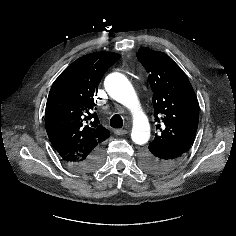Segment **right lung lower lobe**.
<instances>
[{
	"label": "right lung lower lobe",
	"instance_id": "1",
	"mask_svg": "<svg viewBox=\"0 0 236 236\" xmlns=\"http://www.w3.org/2000/svg\"><path fill=\"white\" fill-rule=\"evenodd\" d=\"M71 169L78 172H92L98 169L104 161L103 146L96 148L89 157L80 160L61 158Z\"/></svg>",
	"mask_w": 236,
	"mask_h": 236
}]
</instances>
